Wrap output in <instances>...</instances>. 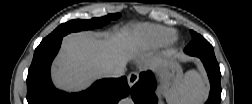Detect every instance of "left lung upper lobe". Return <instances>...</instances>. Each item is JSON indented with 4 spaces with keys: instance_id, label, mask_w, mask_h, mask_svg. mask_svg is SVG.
Returning a JSON list of instances; mask_svg holds the SVG:
<instances>
[{
    "instance_id": "5c2ea615",
    "label": "left lung upper lobe",
    "mask_w": 252,
    "mask_h": 104,
    "mask_svg": "<svg viewBox=\"0 0 252 104\" xmlns=\"http://www.w3.org/2000/svg\"><path fill=\"white\" fill-rule=\"evenodd\" d=\"M192 41L186 46L185 51L191 56L215 58L213 47L207 40L194 31H190Z\"/></svg>"
}]
</instances>
